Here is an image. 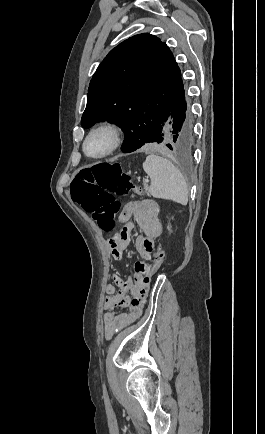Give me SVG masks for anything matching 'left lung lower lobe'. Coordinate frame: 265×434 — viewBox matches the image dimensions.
Listing matches in <instances>:
<instances>
[{
  "label": "left lung lower lobe",
  "instance_id": "0a47b994",
  "mask_svg": "<svg viewBox=\"0 0 265 434\" xmlns=\"http://www.w3.org/2000/svg\"><path fill=\"white\" fill-rule=\"evenodd\" d=\"M147 143H154L155 149L167 148L177 154H189L194 144L193 123L187 113L185 90L162 116V122L154 128H144L124 139L122 152L136 151Z\"/></svg>",
  "mask_w": 265,
  "mask_h": 434
}]
</instances>
